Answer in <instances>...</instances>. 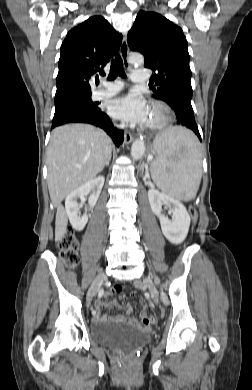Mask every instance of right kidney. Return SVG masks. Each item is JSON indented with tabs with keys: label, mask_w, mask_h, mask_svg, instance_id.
<instances>
[{
	"label": "right kidney",
	"mask_w": 252,
	"mask_h": 390,
	"mask_svg": "<svg viewBox=\"0 0 252 390\" xmlns=\"http://www.w3.org/2000/svg\"><path fill=\"white\" fill-rule=\"evenodd\" d=\"M104 181L105 178L103 176H98L67 195L65 200V209L70 223L75 230L82 231L88 222V215L86 213L82 216L79 214V204L77 199L90 193L88 205L90 208H93L97 203Z\"/></svg>",
	"instance_id": "1"
}]
</instances>
